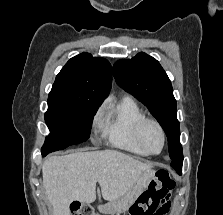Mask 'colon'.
<instances>
[{
	"label": "colon",
	"instance_id": "colon-1",
	"mask_svg": "<svg viewBox=\"0 0 223 215\" xmlns=\"http://www.w3.org/2000/svg\"><path fill=\"white\" fill-rule=\"evenodd\" d=\"M175 188V181L168 171L158 170L154 179L138 197L130 208L131 215H158L165 211L164 201ZM71 215H100L89 204L73 203L70 206Z\"/></svg>",
	"mask_w": 223,
	"mask_h": 215
}]
</instances>
